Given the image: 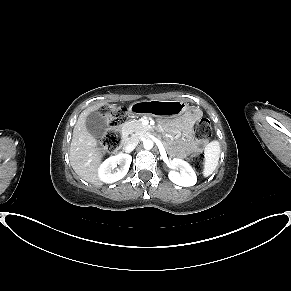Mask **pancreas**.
Listing matches in <instances>:
<instances>
[{
	"instance_id": "1",
	"label": "pancreas",
	"mask_w": 291,
	"mask_h": 291,
	"mask_svg": "<svg viewBox=\"0 0 291 291\" xmlns=\"http://www.w3.org/2000/svg\"><path fill=\"white\" fill-rule=\"evenodd\" d=\"M123 129L134 133L135 136H140L148 130V128L143 126L139 120H132L125 123Z\"/></svg>"
}]
</instances>
